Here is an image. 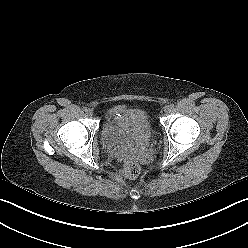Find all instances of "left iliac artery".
<instances>
[{
  "instance_id": "left-iliac-artery-1",
  "label": "left iliac artery",
  "mask_w": 248,
  "mask_h": 248,
  "mask_svg": "<svg viewBox=\"0 0 248 248\" xmlns=\"http://www.w3.org/2000/svg\"><path fill=\"white\" fill-rule=\"evenodd\" d=\"M170 107H171V108H174V104H170Z\"/></svg>"
}]
</instances>
